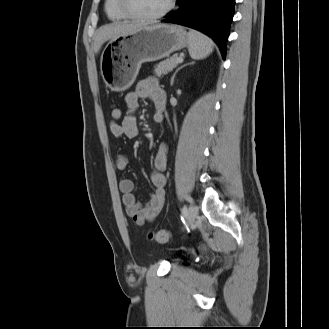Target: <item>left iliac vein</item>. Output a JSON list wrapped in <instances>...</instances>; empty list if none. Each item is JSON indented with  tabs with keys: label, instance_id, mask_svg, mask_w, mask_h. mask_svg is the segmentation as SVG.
Here are the masks:
<instances>
[{
	"label": "left iliac vein",
	"instance_id": "obj_1",
	"mask_svg": "<svg viewBox=\"0 0 329 329\" xmlns=\"http://www.w3.org/2000/svg\"><path fill=\"white\" fill-rule=\"evenodd\" d=\"M199 207L195 204L191 205L187 214V224L190 225L195 222L198 215Z\"/></svg>",
	"mask_w": 329,
	"mask_h": 329
}]
</instances>
